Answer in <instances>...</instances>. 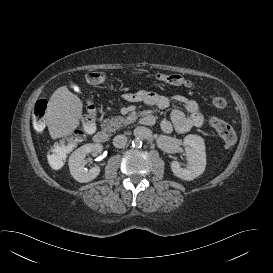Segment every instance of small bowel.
Here are the masks:
<instances>
[{
    "label": "small bowel",
    "mask_w": 273,
    "mask_h": 273,
    "mask_svg": "<svg viewBox=\"0 0 273 273\" xmlns=\"http://www.w3.org/2000/svg\"><path fill=\"white\" fill-rule=\"evenodd\" d=\"M75 91H79L77 86H74ZM127 101L141 102L148 106L159 108L168 107L170 98L154 91H140L125 95ZM173 99L185 107L186 112L180 109H173L170 119H163L160 122L161 130L165 134H171L173 131L185 133L194 127H200L204 123V117L200 111L199 104L192 99L182 95H176Z\"/></svg>",
    "instance_id": "1"
}]
</instances>
